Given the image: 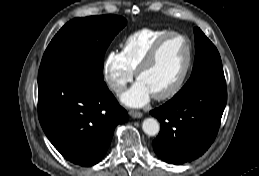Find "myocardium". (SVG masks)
<instances>
[{"label": "myocardium", "instance_id": "myocardium-1", "mask_svg": "<svg viewBox=\"0 0 259 176\" xmlns=\"http://www.w3.org/2000/svg\"><path fill=\"white\" fill-rule=\"evenodd\" d=\"M172 36L181 37L186 41V43H187L186 61H185V65H184V68H183L181 74L175 80V82L164 92L152 95L153 98L156 99V100H165V99L173 97L183 86V84H184V82H185V80H186V78L189 74V71L191 69L192 60H193V44H192L191 39L187 35H185L181 32L169 31L168 33L161 36L153 44V46L151 47V49L149 50V52L147 53V55L142 60V62L140 63V65L138 66V68L136 70V78L139 80L140 75L147 68H149L152 65V63L155 61V59H156L158 53L160 52L163 44Z\"/></svg>", "mask_w": 259, "mask_h": 176}]
</instances>
